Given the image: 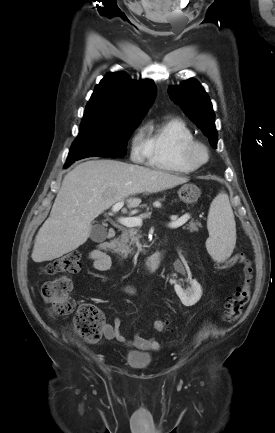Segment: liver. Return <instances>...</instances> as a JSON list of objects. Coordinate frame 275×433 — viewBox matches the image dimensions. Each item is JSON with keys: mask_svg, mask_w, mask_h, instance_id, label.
Masks as SVG:
<instances>
[{"mask_svg": "<svg viewBox=\"0 0 275 433\" xmlns=\"http://www.w3.org/2000/svg\"><path fill=\"white\" fill-rule=\"evenodd\" d=\"M186 177L115 160H90L68 172L32 251L36 263L51 261L84 244L91 222L129 196L155 193L188 182ZM139 206L141 199L129 198Z\"/></svg>", "mask_w": 275, "mask_h": 433, "instance_id": "1", "label": "liver"}]
</instances>
